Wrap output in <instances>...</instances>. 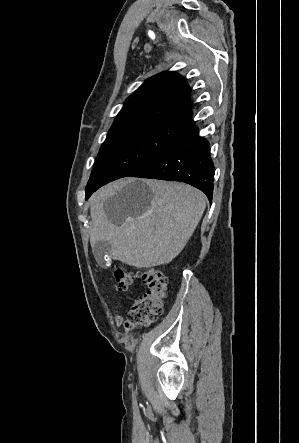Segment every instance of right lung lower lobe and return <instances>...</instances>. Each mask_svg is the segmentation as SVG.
<instances>
[{"mask_svg": "<svg viewBox=\"0 0 299 443\" xmlns=\"http://www.w3.org/2000/svg\"><path fill=\"white\" fill-rule=\"evenodd\" d=\"M208 146V141L198 135L191 115L183 122V129L174 141L128 176L185 182L203 191L211 200L214 166Z\"/></svg>", "mask_w": 299, "mask_h": 443, "instance_id": "right-lung-lower-lobe-1", "label": "right lung lower lobe"}]
</instances>
